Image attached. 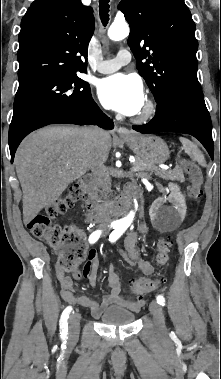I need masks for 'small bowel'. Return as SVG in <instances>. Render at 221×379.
<instances>
[{
  "mask_svg": "<svg viewBox=\"0 0 221 379\" xmlns=\"http://www.w3.org/2000/svg\"><path fill=\"white\" fill-rule=\"evenodd\" d=\"M147 232L148 228L146 224L140 223L137 230H132L128 233L119 252L130 264L137 266L144 275H151L154 268L137 245L138 233L146 234ZM88 253V262L83 264L81 272H74L73 278L66 276L65 272L57 268L56 276L63 299L67 302L79 304L90 309L94 317H99L107 307L113 304L125 306L131 310H138L142 305L141 301H129L121 297L122 288L120 278L112 264L108 266L107 270L109 293L103 297L100 303L88 296H77L74 293V280H78L82 276L87 278V281L93 288L96 287L99 254L95 249H91Z\"/></svg>",
  "mask_w": 221,
  "mask_h": 379,
  "instance_id": "small-bowel-1",
  "label": "small bowel"
}]
</instances>
